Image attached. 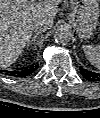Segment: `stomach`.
<instances>
[{"mask_svg": "<svg viewBox=\"0 0 100 118\" xmlns=\"http://www.w3.org/2000/svg\"><path fill=\"white\" fill-rule=\"evenodd\" d=\"M71 8L70 23L76 29L79 37L84 40L91 38L99 24L98 0H71Z\"/></svg>", "mask_w": 100, "mask_h": 118, "instance_id": "1", "label": "stomach"}]
</instances>
